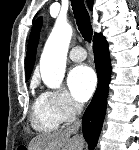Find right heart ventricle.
<instances>
[{
    "instance_id": "1",
    "label": "right heart ventricle",
    "mask_w": 139,
    "mask_h": 150,
    "mask_svg": "<svg viewBox=\"0 0 139 150\" xmlns=\"http://www.w3.org/2000/svg\"><path fill=\"white\" fill-rule=\"evenodd\" d=\"M61 122L45 93L37 96L31 109L32 127L38 132H51L56 130Z\"/></svg>"
}]
</instances>
